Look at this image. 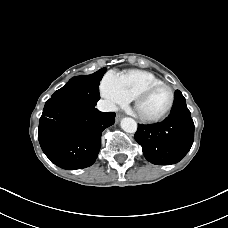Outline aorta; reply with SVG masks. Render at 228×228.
<instances>
[{
    "label": "aorta",
    "instance_id": "obj_1",
    "mask_svg": "<svg viewBox=\"0 0 228 228\" xmlns=\"http://www.w3.org/2000/svg\"><path fill=\"white\" fill-rule=\"evenodd\" d=\"M121 128L126 133H135L137 130V123L133 118L125 117L121 120Z\"/></svg>",
    "mask_w": 228,
    "mask_h": 228
}]
</instances>
